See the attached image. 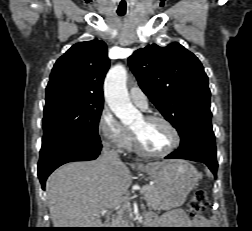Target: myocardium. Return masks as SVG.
<instances>
[{"instance_id": "myocardium-1", "label": "myocardium", "mask_w": 252, "mask_h": 231, "mask_svg": "<svg viewBox=\"0 0 252 231\" xmlns=\"http://www.w3.org/2000/svg\"><path fill=\"white\" fill-rule=\"evenodd\" d=\"M143 118L147 122L159 121V122L164 123L172 133L173 142L167 150L163 152H153L146 149L140 142L138 136L133 131H131L132 143L137 152H139L140 154L144 156H149V157H165L173 153L179 147L180 142H181L180 134H179L178 129L170 120L160 115H146Z\"/></svg>"}]
</instances>
